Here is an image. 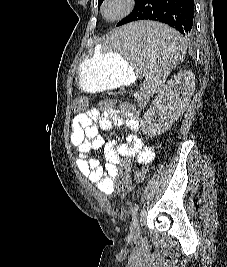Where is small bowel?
<instances>
[{"label": "small bowel", "instance_id": "1", "mask_svg": "<svg viewBox=\"0 0 227 267\" xmlns=\"http://www.w3.org/2000/svg\"><path fill=\"white\" fill-rule=\"evenodd\" d=\"M113 126H126L134 133L126 138V144L115 141L105 142L99 135V129L109 130ZM140 130L139 115L128 108L100 111L90 108L74 116L70 125V140L76 147L75 163L81 174L95 183L103 193H112L115 187L116 173L131 168L135 158L139 164L152 162L153 149L135 134ZM103 148L105 164L89 157V152ZM124 160V162H122Z\"/></svg>", "mask_w": 227, "mask_h": 267}]
</instances>
